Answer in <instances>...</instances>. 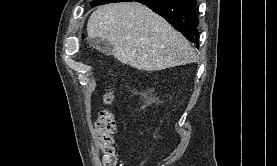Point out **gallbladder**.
<instances>
[{
  "label": "gallbladder",
  "mask_w": 277,
  "mask_h": 166,
  "mask_svg": "<svg viewBox=\"0 0 277 166\" xmlns=\"http://www.w3.org/2000/svg\"><path fill=\"white\" fill-rule=\"evenodd\" d=\"M88 43L90 46L96 48L104 55L110 56L112 55V45L107 40H102L99 38H89Z\"/></svg>",
  "instance_id": "gallbladder-1"
}]
</instances>
